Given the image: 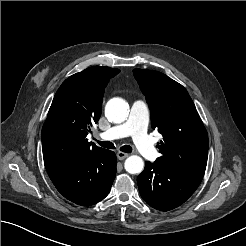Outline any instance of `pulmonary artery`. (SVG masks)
Segmentation results:
<instances>
[{
    "instance_id": "obj_1",
    "label": "pulmonary artery",
    "mask_w": 246,
    "mask_h": 246,
    "mask_svg": "<svg viewBox=\"0 0 246 246\" xmlns=\"http://www.w3.org/2000/svg\"><path fill=\"white\" fill-rule=\"evenodd\" d=\"M150 120V112L147 104L142 100L135 101L130 109L127 120L99 136L103 140H115L131 136L140 153L149 160L157 157V151L151 142L147 129Z\"/></svg>"
}]
</instances>
